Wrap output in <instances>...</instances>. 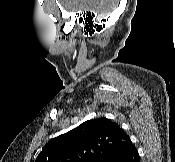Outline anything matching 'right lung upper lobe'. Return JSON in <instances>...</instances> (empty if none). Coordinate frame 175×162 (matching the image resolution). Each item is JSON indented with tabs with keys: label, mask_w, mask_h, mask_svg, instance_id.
Listing matches in <instances>:
<instances>
[{
	"label": "right lung upper lobe",
	"mask_w": 175,
	"mask_h": 162,
	"mask_svg": "<svg viewBox=\"0 0 175 162\" xmlns=\"http://www.w3.org/2000/svg\"><path fill=\"white\" fill-rule=\"evenodd\" d=\"M132 147L129 136L118 124L97 118L54 138L35 162H112Z\"/></svg>",
	"instance_id": "right-lung-upper-lobe-1"
}]
</instances>
